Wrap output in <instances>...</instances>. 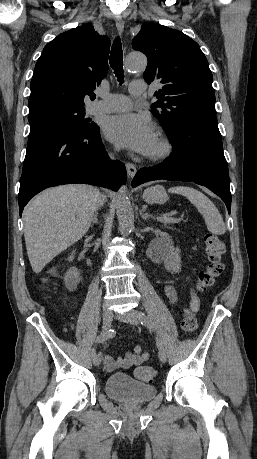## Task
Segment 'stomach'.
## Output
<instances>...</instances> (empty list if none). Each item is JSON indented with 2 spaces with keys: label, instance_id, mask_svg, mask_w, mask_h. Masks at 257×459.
<instances>
[{
  "label": "stomach",
  "instance_id": "0dacf381",
  "mask_svg": "<svg viewBox=\"0 0 257 459\" xmlns=\"http://www.w3.org/2000/svg\"><path fill=\"white\" fill-rule=\"evenodd\" d=\"M167 198L166 190L160 185L151 186L143 193V199L147 203L163 204Z\"/></svg>",
  "mask_w": 257,
  "mask_h": 459
}]
</instances>
